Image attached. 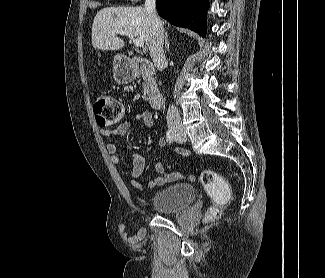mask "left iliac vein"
Segmentation results:
<instances>
[{
	"label": "left iliac vein",
	"instance_id": "4c4485c4",
	"mask_svg": "<svg viewBox=\"0 0 325 278\" xmlns=\"http://www.w3.org/2000/svg\"><path fill=\"white\" fill-rule=\"evenodd\" d=\"M174 139H175V141L178 142V143H184V142H186L187 137H186V134L183 133V134L180 135V136L175 135Z\"/></svg>",
	"mask_w": 325,
	"mask_h": 278
}]
</instances>
